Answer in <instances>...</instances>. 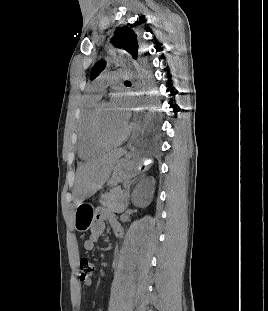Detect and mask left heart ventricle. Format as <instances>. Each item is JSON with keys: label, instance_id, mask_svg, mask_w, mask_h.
Instances as JSON below:
<instances>
[{"label": "left heart ventricle", "instance_id": "1", "mask_svg": "<svg viewBox=\"0 0 268 311\" xmlns=\"http://www.w3.org/2000/svg\"><path fill=\"white\" fill-rule=\"evenodd\" d=\"M100 132L107 140H116L124 133L127 124L122 122L110 104H105L100 116Z\"/></svg>", "mask_w": 268, "mask_h": 311}]
</instances>
